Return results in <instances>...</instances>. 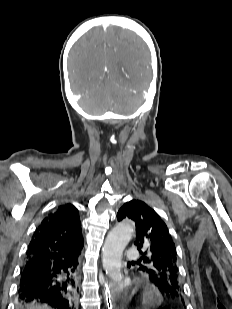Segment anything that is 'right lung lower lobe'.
Instances as JSON below:
<instances>
[{"label": "right lung lower lobe", "instance_id": "obj_1", "mask_svg": "<svg viewBox=\"0 0 232 309\" xmlns=\"http://www.w3.org/2000/svg\"><path fill=\"white\" fill-rule=\"evenodd\" d=\"M77 260L53 262L46 268L26 262L18 287V308L29 309L39 304L56 309H75L73 300L74 278Z\"/></svg>", "mask_w": 232, "mask_h": 309}]
</instances>
